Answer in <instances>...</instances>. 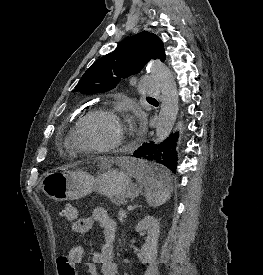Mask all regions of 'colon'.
Here are the masks:
<instances>
[{
  "instance_id": "colon-1",
  "label": "colon",
  "mask_w": 263,
  "mask_h": 275,
  "mask_svg": "<svg viewBox=\"0 0 263 275\" xmlns=\"http://www.w3.org/2000/svg\"><path fill=\"white\" fill-rule=\"evenodd\" d=\"M62 215L68 221H76L78 219V210L72 205H66L62 210ZM83 250L80 247L72 248L67 255L57 258V266L59 275H75V266L81 262Z\"/></svg>"
}]
</instances>
